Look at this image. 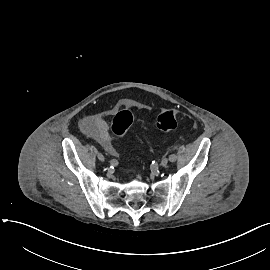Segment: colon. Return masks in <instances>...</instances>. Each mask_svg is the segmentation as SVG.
<instances>
[{
  "instance_id": "colon-1",
  "label": "colon",
  "mask_w": 270,
  "mask_h": 270,
  "mask_svg": "<svg viewBox=\"0 0 270 270\" xmlns=\"http://www.w3.org/2000/svg\"><path fill=\"white\" fill-rule=\"evenodd\" d=\"M133 121L134 118L130 111L122 110L118 112L111 126L115 137L118 139L124 138ZM156 126L164 132L175 130L178 127L177 113L172 109L163 110L156 118Z\"/></svg>"
}]
</instances>
